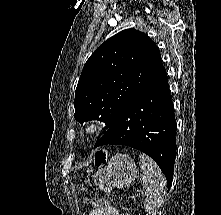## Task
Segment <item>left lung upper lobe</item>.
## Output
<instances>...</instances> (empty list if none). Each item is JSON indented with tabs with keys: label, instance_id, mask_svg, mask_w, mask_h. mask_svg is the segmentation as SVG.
<instances>
[{
	"label": "left lung upper lobe",
	"instance_id": "1",
	"mask_svg": "<svg viewBox=\"0 0 221 215\" xmlns=\"http://www.w3.org/2000/svg\"><path fill=\"white\" fill-rule=\"evenodd\" d=\"M164 72L159 49L146 34L119 32L84 65L75 91V119L100 120L109 128Z\"/></svg>",
	"mask_w": 221,
	"mask_h": 215
}]
</instances>
